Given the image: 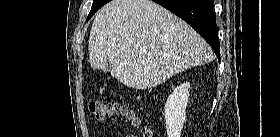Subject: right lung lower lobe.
Returning a JSON list of instances; mask_svg holds the SVG:
<instances>
[{"label":"right lung lower lobe","mask_w":280,"mask_h":137,"mask_svg":"<svg viewBox=\"0 0 280 137\" xmlns=\"http://www.w3.org/2000/svg\"><path fill=\"white\" fill-rule=\"evenodd\" d=\"M186 21L212 47L220 60V43L213 0H153Z\"/></svg>","instance_id":"98d812e1"}]
</instances>
